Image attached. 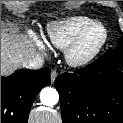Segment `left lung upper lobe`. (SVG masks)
Masks as SVG:
<instances>
[{
  "mask_svg": "<svg viewBox=\"0 0 123 123\" xmlns=\"http://www.w3.org/2000/svg\"><path fill=\"white\" fill-rule=\"evenodd\" d=\"M116 49H123V37L118 40Z\"/></svg>",
  "mask_w": 123,
  "mask_h": 123,
  "instance_id": "left-lung-upper-lobe-1",
  "label": "left lung upper lobe"
}]
</instances>
